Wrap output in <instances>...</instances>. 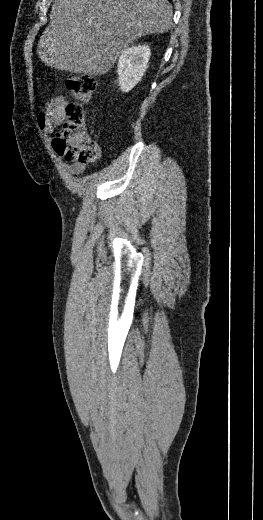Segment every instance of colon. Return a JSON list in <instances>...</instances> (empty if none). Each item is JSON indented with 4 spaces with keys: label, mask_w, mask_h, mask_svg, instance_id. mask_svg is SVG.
<instances>
[{
    "label": "colon",
    "mask_w": 263,
    "mask_h": 520,
    "mask_svg": "<svg viewBox=\"0 0 263 520\" xmlns=\"http://www.w3.org/2000/svg\"><path fill=\"white\" fill-rule=\"evenodd\" d=\"M73 102L66 106V117L53 140L55 151L68 161L86 163L99 155L97 143L85 130V105L96 90L95 78L71 75L66 82Z\"/></svg>",
    "instance_id": "colon-1"
}]
</instances>
